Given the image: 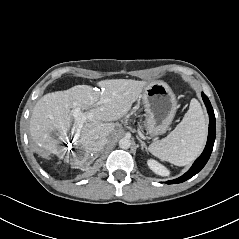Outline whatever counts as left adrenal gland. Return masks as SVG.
Wrapping results in <instances>:
<instances>
[{"label":"left adrenal gland","mask_w":239,"mask_h":239,"mask_svg":"<svg viewBox=\"0 0 239 239\" xmlns=\"http://www.w3.org/2000/svg\"><path fill=\"white\" fill-rule=\"evenodd\" d=\"M137 139L139 140V142H140V144H141V148H142V150H146V151H148L147 150V146H146V144L144 143V141L140 138V137H138L137 136Z\"/></svg>","instance_id":"a2214340"}]
</instances>
